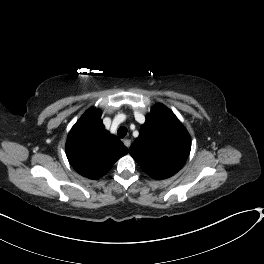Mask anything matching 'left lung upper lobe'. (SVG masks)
Wrapping results in <instances>:
<instances>
[{"instance_id": "obj_1", "label": "left lung upper lobe", "mask_w": 264, "mask_h": 264, "mask_svg": "<svg viewBox=\"0 0 264 264\" xmlns=\"http://www.w3.org/2000/svg\"><path fill=\"white\" fill-rule=\"evenodd\" d=\"M190 149V136L181 122L167 107L156 104L129 153L151 178L159 180L176 174Z\"/></svg>"}]
</instances>
